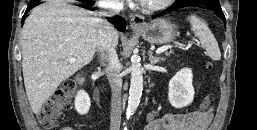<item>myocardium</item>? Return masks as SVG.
Here are the masks:
<instances>
[{
	"label": "myocardium",
	"instance_id": "1",
	"mask_svg": "<svg viewBox=\"0 0 257 130\" xmlns=\"http://www.w3.org/2000/svg\"><path fill=\"white\" fill-rule=\"evenodd\" d=\"M174 0H160L155 3H141V6L148 11H159L168 7Z\"/></svg>",
	"mask_w": 257,
	"mask_h": 130
}]
</instances>
